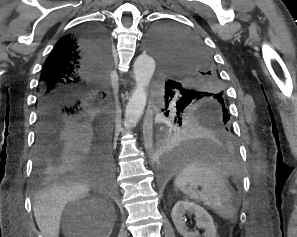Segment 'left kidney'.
<instances>
[{
	"mask_svg": "<svg viewBox=\"0 0 297 237\" xmlns=\"http://www.w3.org/2000/svg\"><path fill=\"white\" fill-rule=\"evenodd\" d=\"M189 212L196 216V226L205 230L203 237H217L216 227L210 214L200 205L189 201H178L172 209V221L178 231L183 237H199L198 231H189L186 226V218L184 214Z\"/></svg>",
	"mask_w": 297,
	"mask_h": 237,
	"instance_id": "1",
	"label": "left kidney"
}]
</instances>
